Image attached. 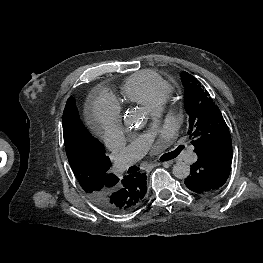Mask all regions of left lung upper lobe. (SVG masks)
Instances as JSON below:
<instances>
[{"mask_svg":"<svg viewBox=\"0 0 263 263\" xmlns=\"http://www.w3.org/2000/svg\"><path fill=\"white\" fill-rule=\"evenodd\" d=\"M181 80L185 87V110L188 114V134L197 154L221 144H231V136L223 116L198 80L183 71Z\"/></svg>","mask_w":263,"mask_h":263,"instance_id":"1","label":"left lung upper lobe"}]
</instances>
